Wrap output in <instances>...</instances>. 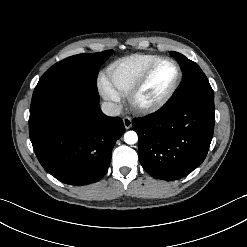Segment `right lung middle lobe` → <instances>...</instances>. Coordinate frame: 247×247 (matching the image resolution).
Wrapping results in <instances>:
<instances>
[{
  "instance_id": "dd1d6c3e",
  "label": "right lung middle lobe",
  "mask_w": 247,
  "mask_h": 247,
  "mask_svg": "<svg viewBox=\"0 0 247 247\" xmlns=\"http://www.w3.org/2000/svg\"><path fill=\"white\" fill-rule=\"evenodd\" d=\"M111 53H84L54 64L34 89L30 113L66 95L84 94L99 99L97 71Z\"/></svg>"
}]
</instances>
